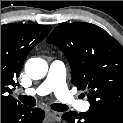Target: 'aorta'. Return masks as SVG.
Returning a JSON list of instances; mask_svg holds the SVG:
<instances>
[{
    "mask_svg": "<svg viewBox=\"0 0 123 123\" xmlns=\"http://www.w3.org/2000/svg\"><path fill=\"white\" fill-rule=\"evenodd\" d=\"M25 72L31 79H41L47 74L48 65L41 58H31L25 64Z\"/></svg>",
    "mask_w": 123,
    "mask_h": 123,
    "instance_id": "obj_1",
    "label": "aorta"
}]
</instances>
